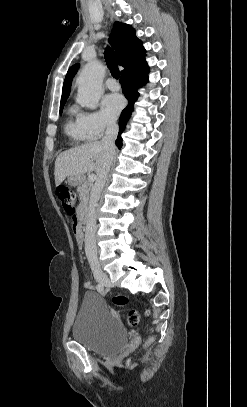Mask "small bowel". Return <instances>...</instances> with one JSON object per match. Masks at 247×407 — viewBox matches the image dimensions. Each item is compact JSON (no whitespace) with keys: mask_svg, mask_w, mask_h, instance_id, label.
Masks as SVG:
<instances>
[{"mask_svg":"<svg viewBox=\"0 0 247 407\" xmlns=\"http://www.w3.org/2000/svg\"><path fill=\"white\" fill-rule=\"evenodd\" d=\"M73 219H74L73 232H74V235H75L78 243L81 244L82 232H81L80 227L78 226V224L75 221V216H73ZM84 287L87 288V289H91L92 288L91 282L90 281H85L84 282Z\"/></svg>","mask_w":247,"mask_h":407,"instance_id":"small-bowel-1","label":"small bowel"}]
</instances>
